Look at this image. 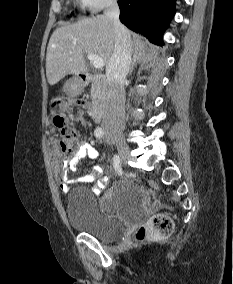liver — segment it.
Returning <instances> with one entry per match:
<instances>
[{
  "label": "liver",
  "mask_w": 233,
  "mask_h": 284,
  "mask_svg": "<svg viewBox=\"0 0 233 284\" xmlns=\"http://www.w3.org/2000/svg\"><path fill=\"white\" fill-rule=\"evenodd\" d=\"M115 37L113 21L104 15L58 27L51 35L47 47L48 83L55 85L68 74L87 73L85 54L101 57L107 66L115 50ZM131 43L135 52L145 51V42L139 37L133 36Z\"/></svg>",
  "instance_id": "obj_1"
}]
</instances>
